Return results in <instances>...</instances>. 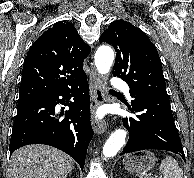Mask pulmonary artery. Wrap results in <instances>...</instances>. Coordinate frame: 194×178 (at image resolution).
<instances>
[{"mask_svg":"<svg viewBox=\"0 0 194 178\" xmlns=\"http://www.w3.org/2000/svg\"><path fill=\"white\" fill-rule=\"evenodd\" d=\"M111 85L113 88L122 89L126 94H129V88L127 87L126 83L123 80L115 77L112 80Z\"/></svg>","mask_w":194,"mask_h":178,"instance_id":"1","label":"pulmonary artery"}]
</instances>
